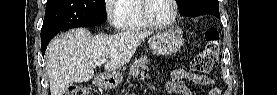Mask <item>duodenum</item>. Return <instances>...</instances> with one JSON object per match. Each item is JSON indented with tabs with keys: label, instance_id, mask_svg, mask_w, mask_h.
I'll return each mask as SVG.
<instances>
[{
	"label": "duodenum",
	"instance_id": "1",
	"mask_svg": "<svg viewBox=\"0 0 277 95\" xmlns=\"http://www.w3.org/2000/svg\"><path fill=\"white\" fill-rule=\"evenodd\" d=\"M98 79H99L98 85H99V86H102V85H103V82H104V80H105L104 76H100Z\"/></svg>",
	"mask_w": 277,
	"mask_h": 95
}]
</instances>
